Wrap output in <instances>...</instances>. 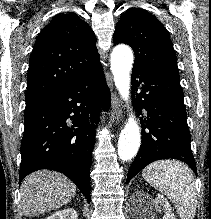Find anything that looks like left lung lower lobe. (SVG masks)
Returning a JSON list of instances; mask_svg holds the SVG:
<instances>
[{
    "instance_id": "obj_1",
    "label": "left lung lower lobe",
    "mask_w": 211,
    "mask_h": 219,
    "mask_svg": "<svg viewBox=\"0 0 211 219\" xmlns=\"http://www.w3.org/2000/svg\"><path fill=\"white\" fill-rule=\"evenodd\" d=\"M132 93L138 113L144 109L146 115L140 118L142 143L126 182L159 159L182 160L197 174L179 73L133 67Z\"/></svg>"
}]
</instances>
